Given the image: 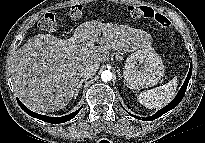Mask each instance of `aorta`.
<instances>
[{
    "instance_id": "obj_1",
    "label": "aorta",
    "mask_w": 205,
    "mask_h": 143,
    "mask_svg": "<svg viewBox=\"0 0 205 143\" xmlns=\"http://www.w3.org/2000/svg\"><path fill=\"white\" fill-rule=\"evenodd\" d=\"M112 73H111V71H109V70H105V71H103L102 73H101V79H102V81H104V82H108V81H111L112 80Z\"/></svg>"
}]
</instances>
